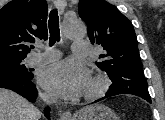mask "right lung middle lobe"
<instances>
[{
    "label": "right lung middle lobe",
    "mask_w": 165,
    "mask_h": 120,
    "mask_svg": "<svg viewBox=\"0 0 165 120\" xmlns=\"http://www.w3.org/2000/svg\"><path fill=\"white\" fill-rule=\"evenodd\" d=\"M23 60L0 61V76L32 80L33 74L25 67Z\"/></svg>",
    "instance_id": "dd1d6c3e"
}]
</instances>
